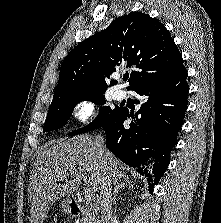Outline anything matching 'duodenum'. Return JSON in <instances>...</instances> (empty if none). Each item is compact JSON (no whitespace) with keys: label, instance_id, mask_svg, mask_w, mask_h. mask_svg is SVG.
<instances>
[{"label":"duodenum","instance_id":"410a0bca","mask_svg":"<svg viewBox=\"0 0 221 223\" xmlns=\"http://www.w3.org/2000/svg\"><path fill=\"white\" fill-rule=\"evenodd\" d=\"M69 208L72 214H74L75 216H78L84 211H86L88 209V206L85 205L83 202H81L77 198H71L69 201ZM94 210L96 212L99 211L98 208H95Z\"/></svg>","mask_w":221,"mask_h":223}]
</instances>
